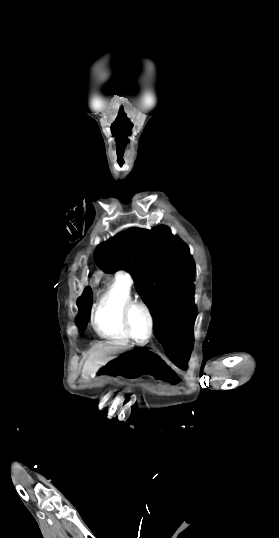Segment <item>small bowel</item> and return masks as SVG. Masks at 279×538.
<instances>
[{
    "mask_svg": "<svg viewBox=\"0 0 279 538\" xmlns=\"http://www.w3.org/2000/svg\"><path fill=\"white\" fill-rule=\"evenodd\" d=\"M154 378L158 382L169 384V385H176L178 383L176 374L171 370H163V371L156 372L154 374Z\"/></svg>",
    "mask_w": 279,
    "mask_h": 538,
    "instance_id": "small-bowel-1",
    "label": "small bowel"
}]
</instances>
